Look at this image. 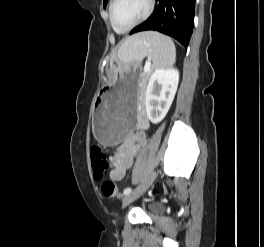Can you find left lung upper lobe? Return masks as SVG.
Returning <instances> with one entry per match:
<instances>
[{"instance_id": "obj_1", "label": "left lung upper lobe", "mask_w": 264, "mask_h": 247, "mask_svg": "<svg viewBox=\"0 0 264 247\" xmlns=\"http://www.w3.org/2000/svg\"><path fill=\"white\" fill-rule=\"evenodd\" d=\"M107 1H108V0H104V2H103V6H104V8L106 7Z\"/></svg>"}]
</instances>
